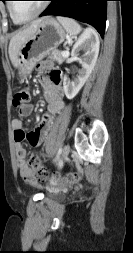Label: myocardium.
Wrapping results in <instances>:
<instances>
[{
  "label": "myocardium",
  "mask_w": 133,
  "mask_h": 253,
  "mask_svg": "<svg viewBox=\"0 0 133 253\" xmlns=\"http://www.w3.org/2000/svg\"><path fill=\"white\" fill-rule=\"evenodd\" d=\"M48 6V2L45 0L43 2V4L41 5V7L33 14L31 15L30 17L26 18V19H23V20H20L18 19L14 12H13V9H12V2H9L7 7H8V11H9V14H10V17L11 19L17 23V24H24V23H27L33 19H35L36 17H38L41 13H43L45 11V9L47 8Z\"/></svg>",
  "instance_id": "f54148a6"
}]
</instances>
